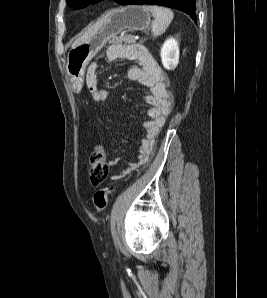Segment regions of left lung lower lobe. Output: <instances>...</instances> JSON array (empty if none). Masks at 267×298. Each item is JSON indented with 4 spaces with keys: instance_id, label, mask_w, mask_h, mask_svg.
Here are the masks:
<instances>
[{
    "instance_id": "1",
    "label": "left lung lower lobe",
    "mask_w": 267,
    "mask_h": 298,
    "mask_svg": "<svg viewBox=\"0 0 267 298\" xmlns=\"http://www.w3.org/2000/svg\"><path fill=\"white\" fill-rule=\"evenodd\" d=\"M128 4L161 5L165 7L178 9L190 15V17L196 22L195 0H126L121 5Z\"/></svg>"
}]
</instances>
